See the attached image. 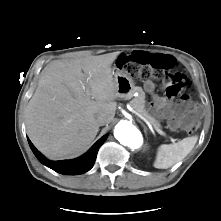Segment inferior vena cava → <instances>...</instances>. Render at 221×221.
<instances>
[{
    "instance_id": "obj_1",
    "label": "inferior vena cava",
    "mask_w": 221,
    "mask_h": 221,
    "mask_svg": "<svg viewBox=\"0 0 221 221\" xmlns=\"http://www.w3.org/2000/svg\"><path fill=\"white\" fill-rule=\"evenodd\" d=\"M96 120L99 126H103L107 123V119L103 115H98Z\"/></svg>"
}]
</instances>
